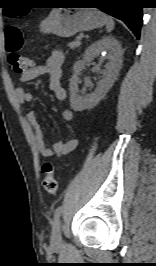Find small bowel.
<instances>
[{"label": "small bowel", "mask_w": 156, "mask_h": 266, "mask_svg": "<svg viewBox=\"0 0 156 266\" xmlns=\"http://www.w3.org/2000/svg\"><path fill=\"white\" fill-rule=\"evenodd\" d=\"M64 61V55L59 50H54L45 61L38 66L32 67L22 73L20 80L22 82H29L38 78L43 74L49 75V87L58 100H65L66 90L62 85V64ZM15 96L20 104L30 103L33 100V94L23 88L19 87L15 91ZM62 118L65 121H71L73 119V112L68 107L62 108ZM29 120L35 132V144L38 152L44 157H62L71 154L77 147V140H70L66 143H56L48 145L45 141V134L40 126L36 114L33 110L28 113Z\"/></svg>", "instance_id": "obj_1"}]
</instances>
